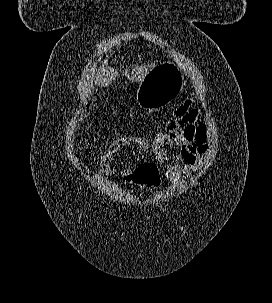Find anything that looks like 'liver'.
Wrapping results in <instances>:
<instances>
[{"instance_id":"6515ba94","label":"liver","mask_w":272,"mask_h":303,"mask_svg":"<svg viewBox=\"0 0 272 303\" xmlns=\"http://www.w3.org/2000/svg\"><path fill=\"white\" fill-rule=\"evenodd\" d=\"M156 67L155 63L151 64H144V65H135L132 68V72L130 73L128 69L125 70V76L130 81H139L141 82L142 79L152 70ZM119 77V72L117 69L106 66L103 67L98 71L97 74V83L100 87H106L109 86L115 79Z\"/></svg>"}]
</instances>
